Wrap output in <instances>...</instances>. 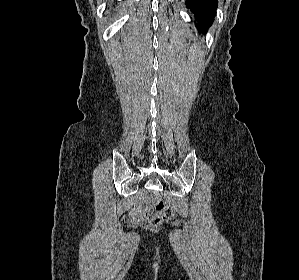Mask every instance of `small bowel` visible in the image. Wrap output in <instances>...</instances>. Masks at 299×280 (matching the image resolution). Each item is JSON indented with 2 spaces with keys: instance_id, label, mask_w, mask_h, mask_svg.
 <instances>
[{
  "instance_id": "1",
  "label": "small bowel",
  "mask_w": 299,
  "mask_h": 280,
  "mask_svg": "<svg viewBox=\"0 0 299 280\" xmlns=\"http://www.w3.org/2000/svg\"><path fill=\"white\" fill-rule=\"evenodd\" d=\"M146 198H141L136 206L131 211V217L135 221H144L147 216L151 213L152 208L146 205Z\"/></svg>"
}]
</instances>
